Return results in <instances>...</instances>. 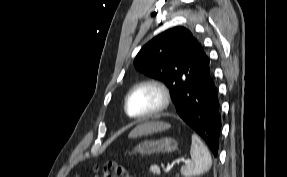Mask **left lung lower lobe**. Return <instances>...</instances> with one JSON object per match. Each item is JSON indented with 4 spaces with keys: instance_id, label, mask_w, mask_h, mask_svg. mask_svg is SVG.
<instances>
[{
    "instance_id": "left-lung-lower-lobe-1",
    "label": "left lung lower lobe",
    "mask_w": 287,
    "mask_h": 177,
    "mask_svg": "<svg viewBox=\"0 0 287 177\" xmlns=\"http://www.w3.org/2000/svg\"><path fill=\"white\" fill-rule=\"evenodd\" d=\"M175 107L183 121L203 138L214 156H217L221 117L217 90L209 64Z\"/></svg>"
}]
</instances>
